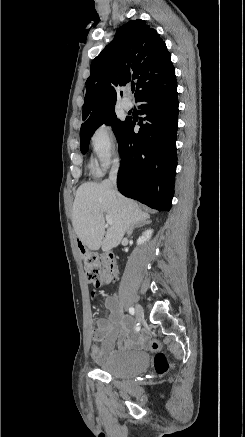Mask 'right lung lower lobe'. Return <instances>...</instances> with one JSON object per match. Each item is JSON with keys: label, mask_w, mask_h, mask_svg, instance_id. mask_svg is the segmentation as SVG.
Wrapping results in <instances>:
<instances>
[{"label": "right lung lower lobe", "mask_w": 245, "mask_h": 437, "mask_svg": "<svg viewBox=\"0 0 245 437\" xmlns=\"http://www.w3.org/2000/svg\"><path fill=\"white\" fill-rule=\"evenodd\" d=\"M141 105V126L127 119L118 136L121 167L117 185L126 197L158 211H169L177 166V83L136 99Z\"/></svg>", "instance_id": "obj_1"}]
</instances>
